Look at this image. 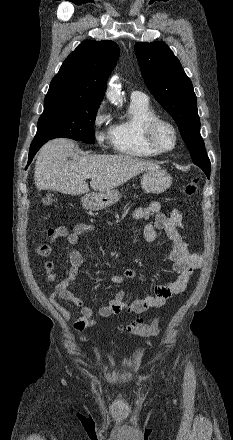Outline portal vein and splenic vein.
<instances>
[{
    "mask_svg": "<svg viewBox=\"0 0 233 440\" xmlns=\"http://www.w3.org/2000/svg\"><path fill=\"white\" fill-rule=\"evenodd\" d=\"M85 177H86V178H91V177H92V174H89V173H88V174H85Z\"/></svg>",
    "mask_w": 233,
    "mask_h": 440,
    "instance_id": "1",
    "label": "portal vein and splenic vein"
}]
</instances>
